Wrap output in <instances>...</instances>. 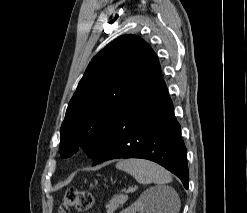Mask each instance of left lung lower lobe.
<instances>
[{
  "instance_id": "left-lung-lower-lobe-1",
  "label": "left lung lower lobe",
  "mask_w": 247,
  "mask_h": 213,
  "mask_svg": "<svg viewBox=\"0 0 247 213\" xmlns=\"http://www.w3.org/2000/svg\"><path fill=\"white\" fill-rule=\"evenodd\" d=\"M186 147L173 103L161 78L160 65L150 68L136 96L127 103L93 165L111 159L154 161L180 178L188 188Z\"/></svg>"
}]
</instances>
